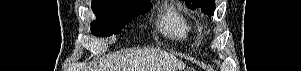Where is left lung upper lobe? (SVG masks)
<instances>
[{"label":"left lung upper lobe","instance_id":"obj_1","mask_svg":"<svg viewBox=\"0 0 301 71\" xmlns=\"http://www.w3.org/2000/svg\"><path fill=\"white\" fill-rule=\"evenodd\" d=\"M190 9L201 8L202 12L207 15H213L215 10L214 0H184Z\"/></svg>","mask_w":301,"mask_h":71}]
</instances>
